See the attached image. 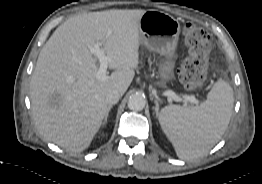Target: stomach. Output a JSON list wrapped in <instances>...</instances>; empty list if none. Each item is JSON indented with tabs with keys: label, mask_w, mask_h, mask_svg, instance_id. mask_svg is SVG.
I'll use <instances>...</instances> for the list:
<instances>
[{
	"label": "stomach",
	"mask_w": 262,
	"mask_h": 184,
	"mask_svg": "<svg viewBox=\"0 0 262 184\" xmlns=\"http://www.w3.org/2000/svg\"><path fill=\"white\" fill-rule=\"evenodd\" d=\"M140 43L164 55L159 65L163 83L174 78V55L180 34V23L173 16L157 10L146 11L139 20Z\"/></svg>",
	"instance_id": "0dacf381"
}]
</instances>
